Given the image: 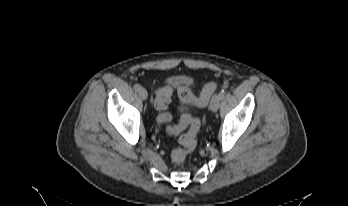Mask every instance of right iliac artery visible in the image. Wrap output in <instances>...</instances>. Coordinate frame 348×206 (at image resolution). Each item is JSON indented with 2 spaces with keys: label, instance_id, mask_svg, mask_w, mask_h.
Masks as SVG:
<instances>
[{
  "label": "right iliac artery",
  "instance_id": "1",
  "mask_svg": "<svg viewBox=\"0 0 348 206\" xmlns=\"http://www.w3.org/2000/svg\"><path fill=\"white\" fill-rule=\"evenodd\" d=\"M135 91H139L141 89V86L139 84L134 85Z\"/></svg>",
  "mask_w": 348,
  "mask_h": 206
}]
</instances>
